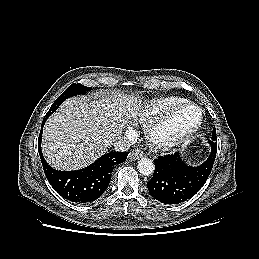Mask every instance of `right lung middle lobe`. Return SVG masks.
<instances>
[{"label": "right lung middle lobe", "instance_id": "obj_1", "mask_svg": "<svg viewBox=\"0 0 259 259\" xmlns=\"http://www.w3.org/2000/svg\"><path fill=\"white\" fill-rule=\"evenodd\" d=\"M89 90H91V87H86L80 84L73 83L61 96L56 99L47 114L51 115L60 106V104L69 97L80 94L84 95Z\"/></svg>", "mask_w": 259, "mask_h": 259}]
</instances>
